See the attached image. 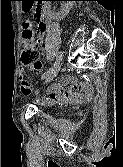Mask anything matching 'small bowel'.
Here are the masks:
<instances>
[{
	"label": "small bowel",
	"mask_w": 123,
	"mask_h": 167,
	"mask_svg": "<svg viewBox=\"0 0 123 167\" xmlns=\"http://www.w3.org/2000/svg\"><path fill=\"white\" fill-rule=\"evenodd\" d=\"M33 1H22L21 9L23 13H31L33 9ZM45 32V31H44ZM44 32L38 43L42 41ZM42 70L41 64L38 67L32 66L29 71L40 73ZM20 91L23 95L31 93V86L25 78V72H20ZM47 97L41 99V103L45 105H52L54 103H69V104H86L93 95L94 90L90 84L81 82L75 77H64L59 83L50 85L47 90Z\"/></svg>",
	"instance_id": "1"
}]
</instances>
